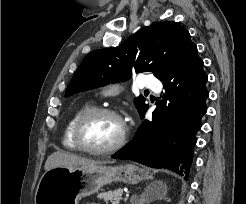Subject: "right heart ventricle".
<instances>
[{
    "label": "right heart ventricle",
    "instance_id": "right-heart-ventricle-1",
    "mask_svg": "<svg viewBox=\"0 0 246 204\" xmlns=\"http://www.w3.org/2000/svg\"><path fill=\"white\" fill-rule=\"evenodd\" d=\"M90 108H92V105L90 102H85L83 104H81L79 107H77L75 109V111L72 113V115L70 116L65 129H64V133H63V138H62V143L63 146L67 149L70 150H77V146L74 143L73 140V130H74V126L77 122V120L79 119V117L86 112L87 110H89Z\"/></svg>",
    "mask_w": 246,
    "mask_h": 204
}]
</instances>
